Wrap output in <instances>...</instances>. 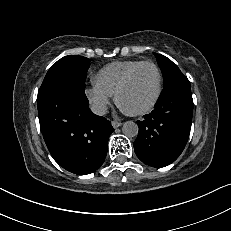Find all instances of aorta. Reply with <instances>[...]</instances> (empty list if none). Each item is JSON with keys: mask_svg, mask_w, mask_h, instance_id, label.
Returning <instances> with one entry per match:
<instances>
[{"mask_svg": "<svg viewBox=\"0 0 231 231\" xmlns=\"http://www.w3.org/2000/svg\"><path fill=\"white\" fill-rule=\"evenodd\" d=\"M139 127L133 121H127L123 124L122 132L125 136L132 138L138 135Z\"/></svg>", "mask_w": 231, "mask_h": 231, "instance_id": "obj_1", "label": "aorta"}]
</instances>
